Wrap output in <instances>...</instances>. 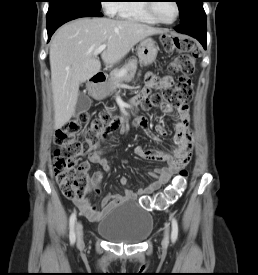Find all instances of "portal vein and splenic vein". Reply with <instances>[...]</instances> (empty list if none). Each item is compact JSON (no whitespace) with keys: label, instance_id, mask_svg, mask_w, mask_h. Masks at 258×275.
<instances>
[{"label":"portal vein and splenic vein","instance_id":"obj_1","mask_svg":"<svg viewBox=\"0 0 258 275\" xmlns=\"http://www.w3.org/2000/svg\"><path fill=\"white\" fill-rule=\"evenodd\" d=\"M107 45L103 44L100 45L95 51H94V55L97 56L98 54H100L102 51H104L106 49ZM125 71H121L119 75H124Z\"/></svg>","mask_w":258,"mask_h":275}]
</instances>
